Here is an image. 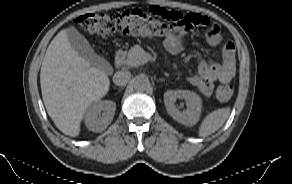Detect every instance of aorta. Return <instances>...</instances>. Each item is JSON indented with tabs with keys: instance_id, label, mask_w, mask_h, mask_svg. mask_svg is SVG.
<instances>
[{
	"instance_id": "762f6f07",
	"label": "aorta",
	"mask_w": 292,
	"mask_h": 184,
	"mask_svg": "<svg viewBox=\"0 0 292 184\" xmlns=\"http://www.w3.org/2000/svg\"><path fill=\"white\" fill-rule=\"evenodd\" d=\"M133 87L137 91H145L150 87V82L147 76L141 74L133 79Z\"/></svg>"
}]
</instances>
